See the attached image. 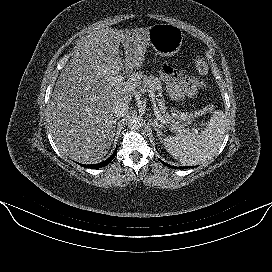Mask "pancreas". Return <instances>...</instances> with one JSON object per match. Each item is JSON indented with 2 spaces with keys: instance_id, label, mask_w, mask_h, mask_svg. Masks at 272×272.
I'll return each instance as SVG.
<instances>
[{
  "instance_id": "1",
  "label": "pancreas",
  "mask_w": 272,
  "mask_h": 272,
  "mask_svg": "<svg viewBox=\"0 0 272 272\" xmlns=\"http://www.w3.org/2000/svg\"><path fill=\"white\" fill-rule=\"evenodd\" d=\"M140 88L143 91L152 90L153 92H157L159 97H162L163 88L162 83L158 78H155L152 75H143L142 80L140 81ZM158 102V110L161 116L166 120L167 126L175 132H181L185 130V126L187 123H180L178 120L190 121L192 114L190 113H181L177 112L175 114H169L167 111V107L165 105V100L163 98L157 99Z\"/></svg>"
}]
</instances>
